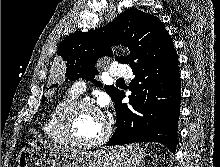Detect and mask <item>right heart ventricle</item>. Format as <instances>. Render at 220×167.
<instances>
[{
    "label": "right heart ventricle",
    "mask_w": 220,
    "mask_h": 167,
    "mask_svg": "<svg viewBox=\"0 0 220 167\" xmlns=\"http://www.w3.org/2000/svg\"><path fill=\"white\" fill-rule=\"evenodd\" d=\"M76 99L77 95L71 91L58 102H56L50 109L42 127L43 135L50 142L59 145L67 144L58 131L57 122L64 107Z\"/></svg>",
    "instance_id": "1"
}]
</instances>
